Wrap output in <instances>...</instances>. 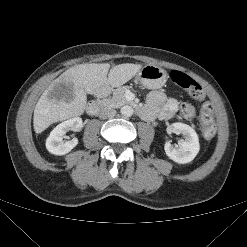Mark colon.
Listing matches in <instances>:
<instances>
[{"label":"colon","instance_id":"colon-1","mask_svg":"<svg viewBox=\"0 0 247 247\" xmlns=\"http://www.w3.org/2000/svg\"><path fill=\"white\" fill-rule=\"evenodd\" d=\"M169 76L173 83L186 90L194 100L202 101L204 99V91L202 87L187 74L181 71L172 70ZM181 113L187 119H193L197 114L196 108L189 103L182 104ZM201 131L204 138L208 140L214 138L216 134L214 108L210 103H205L202 106Z\"/></svg>","mask_w":247,"mask_h":247}]
</instances>
